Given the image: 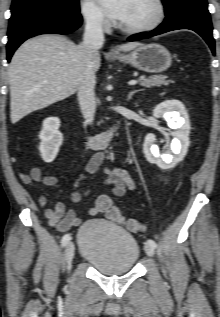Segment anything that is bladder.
<instances>
[{
    "label": "bladder",
    "mask_w": 220,
    "mask_h": 317,
    "mask_svg": "<svg viewBox=\"0 0 220 317\" xmlns=\"http://www.w3.org/2000/svg\"><path fill=\"white\" fill-rule=\"evenodd\" d=\"M79 256L106 275L129 273L140 257L137 240L111 221L90 219L77 232Z\"/></svg>",
    "instance_id": "bladder-1"
}]
</instances>
